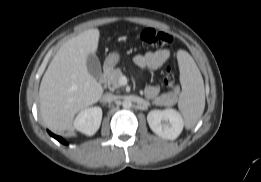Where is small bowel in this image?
Listing matches in <instances>:
<instances>
[{"label":"small bowel","instance_id":"c3829d8e","mask_svg":"<svg viewBox=\"0 0 261 182\" xmlns=\"http://www.w3.org/2000/svg\"><path fill=\"white\" fill-rule=\"evenodd\" d=\"M171 53L167 49L149 51L144 54H138L134 57L135 64L142 69H157L169 60ZM145 96L149 99H155L159 93L157 85H149L144 90Z\"/></svg>","mask_w":261,"mask_h":182}]
</instances>
